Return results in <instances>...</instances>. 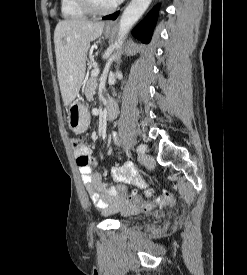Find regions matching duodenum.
I'll use <instances>...</instances> for the list:
<instances>
[{
	"instance_id": "obj_1",
	"label": "duodenum",
	"mask_w": 247,
	"mask_h": 275,
	"mask_svg": "<svg viewBox=\"0 0 247 275\" xmlns=\"http://www.w3.org/2000/svg\"><path fill=\"white\" fill-rule=\"evenodd\" d=\"M116 105L113 104V103H109L107 106H106V109H105V118L106 120L108 121H111L114 119L115 117V114H116Z\"/></svg>"
}]
</instances>
